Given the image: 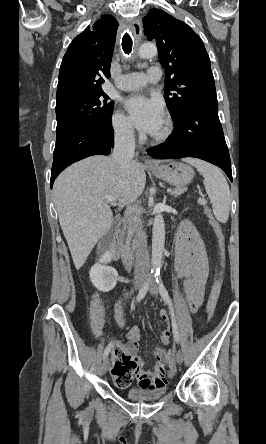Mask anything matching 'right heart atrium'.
<instances>
[{
	"label": "right heart atrium",
	"mask_w": 266,
	"mask_h": 444,
	"mask_svg": "<svg viewBox=\"0 0 266 444\" xmlns=\"http://www.w3.org/2000/svg\"><path fill=\"white\" fill-rule=\"evenodd\" d=\"M115 136L121 140H131L134 137V128L131 120L121 111H117L112 118Z\"/></svg>",
	"instance_id": "obj_1"
}]
</instances>
